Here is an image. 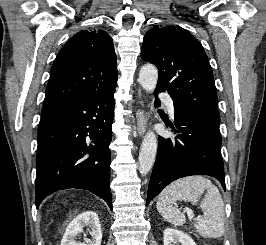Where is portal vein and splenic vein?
<instances>
[{"label":"portal vein and splenic vein","mask_w":266,"mask_h":245,"mask_svg":"<svg viewBox=\"0 0 266 245\" xmlns=\"http://www.w3.org/2000/svg\"><path fill=\"white\" fill-rule=\"evenodd\" d=\"M185 211H186L189 219H193V211H191V209H187V207H185ZM196 221H200V217H197Z\"/></svg>","instance_id":"1"}]
</instances>
